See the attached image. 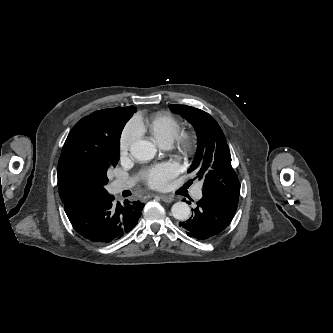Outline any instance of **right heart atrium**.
<instances>
[{
	"instance_id": "obj_1",
	"label": "right heart atrium",
	"mask_w": 333,
	"mask_h": 333,
	"mask_svg": "<svg viewBox=\"0 0 333 333\" xmlns=\"http://www.w3.org/2000/svg\"><path fill=\"white\" fill-rule=\"evenodd\" d=\"M141 126L137 119H131L124 127L119 140V149L121 155H126L130 147L141 136Z\"/></svg>"
}]
</instances>
